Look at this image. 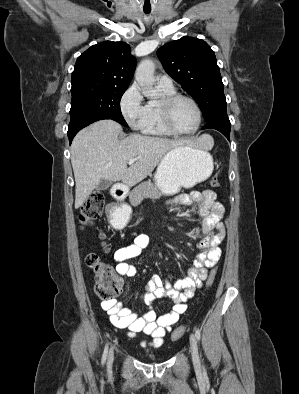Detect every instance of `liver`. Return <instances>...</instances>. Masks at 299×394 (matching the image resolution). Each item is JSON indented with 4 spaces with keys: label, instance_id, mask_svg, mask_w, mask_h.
Here are the masks:
<instances>
[{
    "label": "liver",
    "instance_id": "6515ba94",
    "mask_svg": "<svg viewBox=\"0 0 299 394\" xmlns=\"http://www.w3.org/2000/svg\"><path fill=\"white\" fill-rule=\"evenodd\" d=\"M121 133L120 124L105 119L82 129L73 139L70 152L76 184V209L83 205L102 179L122 181L132 187L150 175L171 149L191 143L140 134L119 140ZM198 143L205 144V136L199 138ZM133 158L137 160L128 168L127 164Z\"/></svg>",
    "mask_w": 299,
    "mask_h": 394
}]
</instances>
